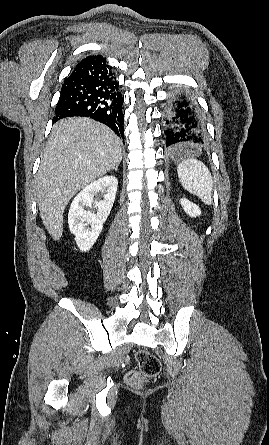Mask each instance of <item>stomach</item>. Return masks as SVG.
I'll return each instance as SVG.
<instances>
[{"instance_id":"1","label":"stomach","mask_w":269,"mask_h":445,"mask_svg":"<svg viewBox=\"0 0 269 445\" xmlns=\"http://www.w3.org/2000/svg\"><path fill=\"white\" fill-rule=\"evenodd\" d=\"M182 157H183V154L181 152H177V153L173 154V158L177 162L180 161L182 159Z\"/></svg>"}]
</instances>
